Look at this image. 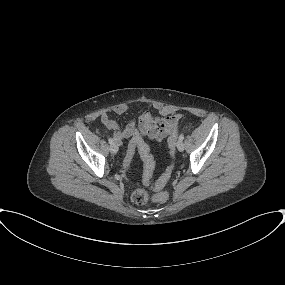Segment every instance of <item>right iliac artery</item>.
Returning a JSON list of instances; mask_svg holds the SVG:
<instances>
[{"label":"right iliac artery","instance_id":"1","mask_svg":"<svg viewBox=\"0 0 285 285\" xmlns=\"http://www.w3.org/2000/svg\"><path fill=\"white\" fill-rule=\"evenodd\" d=\"M108 142H109V144H113V143H114V140H113L112 138H109V139H108Z\"/></svg>","mask_w":285,"mask_h":285}]
</instances>
